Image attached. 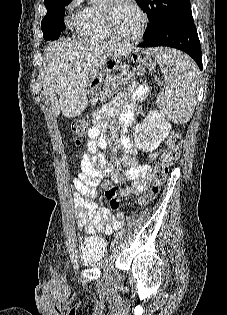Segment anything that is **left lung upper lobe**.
Masks as SVG:
<instances>
[{
  "mask_svg": "<svg viewBox=\"0 0 227 315\" xmlns=\"http://www.w3.org/2000/svg\"><path fill=\"white\" fill-rule=\"evenodd\" d=\"M136 2L147 13L150 21L145 35L171 18L191 13L189 0H136Z\"/></svg>",
  "mask_w": 227,
  "mask_h": 315,
  "instance_id": "left-lung-upper-lobe-1",
  "label": "left lung upper lobe"
}]
</instances>
